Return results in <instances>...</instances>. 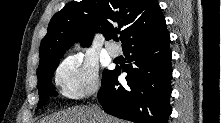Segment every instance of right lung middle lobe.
<instances>
[{
  "instance_id": "1",
  "label": "right lung middle lobe",
  "mask_w": 221,
  "mask_h": 123,
  "mask_svg": "<svg viewBox=\"0 0 221 123\" xmlns=\"http://www.w3.org/2000/svg\"><path fill=\"white\" fill-rule=\"evenodd\" d=\"M58 64H59V59L37 70L38 92L40 98L39 103L37 105L38 108L43 107L48 101V97L52 96L55 93L54 92L55 87L52 85L51 79ZM107 72L108 70H104L103 76Z\"/></svg>"
}]
</instances>
